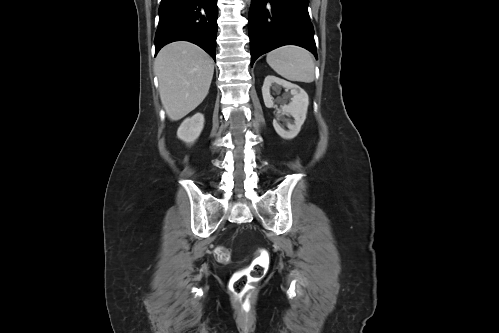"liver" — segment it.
Instances as JSON below:
<instances>
[{"label": "liver", "mask_w": 499, "mask_h": 333, "mask_svg": "<svg viewBox=\"0 0 499 333\" xmlns=\"http://www.w3.org/2000/svg\"><path fill=\"white\" fill-rule=\"evenodd\" d=\"M154 70L166 114L170 120L178 121L207 96L213 78L214 61L197 45L176 41L160 50Z\"/></svg>", "instance_id": "6515ba94"}]
</instances>
